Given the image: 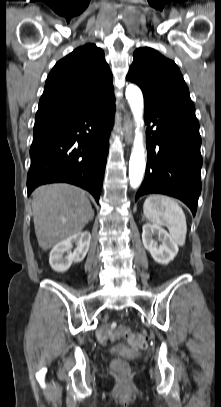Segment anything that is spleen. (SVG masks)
Here are the masks:
<instances>
[{"mask_svg":"<svg viewBox=\"0 0 221 407\" xmlns=\"http://www.w3.org/2000/svg\"><path fill=\"white\" fill-rule=\"evenodd\" d=\"M143 212L152 223L166 226L178 245L183 246L185 244L186 217L174 199L165 195H150L144 202Z\"/></svg>","mask_w":221,"mask_h":407,"instance_id":"3e777b00","label":"spleen"}]
</instances>
